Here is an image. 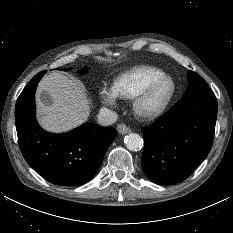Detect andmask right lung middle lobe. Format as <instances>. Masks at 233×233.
Wrapping results in <instances>:
<instances>
[{"mask_svg": "<svg viewBox=\"0 0 233 233\" xmlns=\"http://www.w3.org/2000/svg\"><path fill=\"white\" fill-rule=\"evenodd\" d=\"M72 68H67V69H61V70H64V71H67V70H71ZM86 72V69H81L80 70V73L83 74Z\"/></svg>", "mask_w": 233, "mask_h": 233, "instance_id": "1", "label": "right lung middle lobe"}]
</instances>
